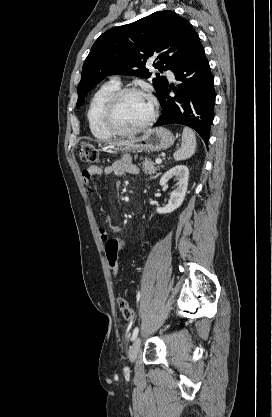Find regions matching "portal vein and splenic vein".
<instances>
[{
    "instance_id": "18ae733b",
    "label": "portal vein and splenic vein",
    "mask_w": 272,
    "mask_h": 417,
    "mask_svg": "<svg viewBox=\"0 0 272 417\" xmlns=\"http://www.w3.org/2000/svg\"><path fill=\"white\" fill-rule=\"evenodd\" d=\"M161 163H162V160L160 158H157L156 159V164H161Z\"/></svg>"
}]
</instances>
